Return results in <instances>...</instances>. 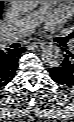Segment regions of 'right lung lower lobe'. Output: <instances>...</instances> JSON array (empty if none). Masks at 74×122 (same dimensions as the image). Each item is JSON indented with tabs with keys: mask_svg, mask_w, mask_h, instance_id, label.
Returning a JSON list of instances; mask_svg holds the SVG:
<instances>
[{
	"mask_svg": "<svg viewBox=\"0 0 74 122\" xmlns=\"http://www.w3.org/2000/svg\"><path fill=\"white\" fill-rule=\"evenodd\" d=\"M24 48L0 50V87L8 84L14 77L18 60Z\"/></svg>",
	"mask_w": 74,
	"mask_h": 122,
	"instance_id": "98d812e1",
	"label": "right lung lower lobe"
}]
</instances>
